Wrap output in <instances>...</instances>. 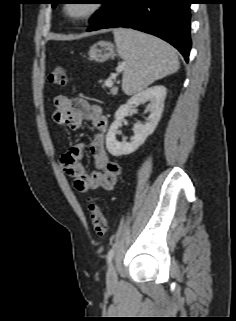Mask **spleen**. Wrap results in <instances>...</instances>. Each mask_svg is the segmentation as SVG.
I'll use <instances>...</instances> for the list:
<instances>
[{
  "instance_id": "obj_1",
  "label": "spleen",
  "mask_w": 236,
  "mask_h": 321,
  "mask_svg": "<svg viewBox=\"0 0 236 321\" xmlns=\"http://www.w3.org/2000/svg\"><path fill=\"white\" fill-rule=\"evenodd\" d=\"M113 34L117 52L124 60L122 89L125 94L141 92L179 69L176 51L161 39L123 28L115 29Z\"/></svg>"
}]
</instances>
